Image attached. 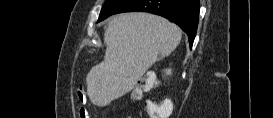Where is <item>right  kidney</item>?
I'll list each match as a JSON object with an SVG mask.
<instances>
[{"mask_svg":"<svg viewBox=\"0 0 273 118\" xmlns=\"http://www.w3.org/2000/svg\"><path fill=\"white\" fill-rule=\"evenodd\" d=\"M165 73H166V75H170L171 74V69H166Z\"/></svg>","mask_w":273,"mask_h":118,"instance_id":"obj_1","label":"right kidney"}]
</instances>
